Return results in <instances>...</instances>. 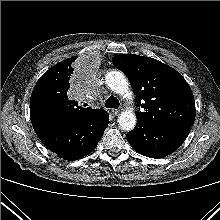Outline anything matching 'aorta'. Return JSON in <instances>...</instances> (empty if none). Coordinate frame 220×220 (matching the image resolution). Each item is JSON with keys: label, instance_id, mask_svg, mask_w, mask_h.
I'll return each mask as SVG.
<instances>
[{"label": "aorta", "instance_id": "aorta-1", "mask_svg": "<svg viewBox=\"0 0 220 220\" xmlns=\"http://www.w3.org/2000/svg\"><path fill=\"white\" fill-rule=\"evenodd\" d=\"M105 83L113 92L119 95H132L128 79L120 71H109L105 76ZM136 121V115L131 110L121 112L118 117V123L124 131H131L135 127Z\"/></svg>", "mask_w": 220, "mask_h": 220}]
</instances>
